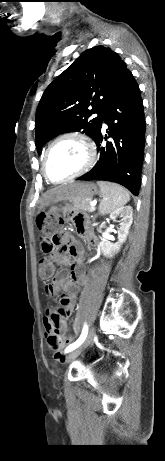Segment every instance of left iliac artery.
Segmentation results:
<instances>
[{"instance_id": "obj_1", "label": "left iliac artery", "mask_w": 165, "mask_h": 461, "mask_svg": "<svg viewBox=\"0 0 165 461\" xmlns=\"http://www.w3.org/2000/svg\"><path fill=\"white\" fill-rule=\"evenodd\" d=\"M87 332H88V328H87V325H85L79 339L76 342H74L73 344L69 345L66 348L65 352H71L74 349H76L77 347H79L83 343V341L85 340V338L87 336Z\"/></svg>"}]
</instances>
